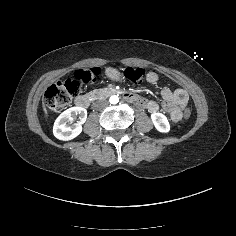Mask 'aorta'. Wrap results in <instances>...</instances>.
<instances>
[{
	"mask_svg": "<svg viewBox=\"0 0 236 236\" xmlns=\"http://www.w3.org/2000/svg\"><path fill=\"white\" fill-rule=\"evenodd\" d=\"M109 103L114 105L118 103V97L117 96H111L109 99Z\"/></svg>",
	"mask_w": 236,
	"mask_h": 236,
	"instance_id": "762f6f07",
	"label": "aorta"
}]
</instances>
